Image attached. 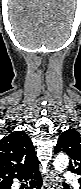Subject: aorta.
<instances>
[{"label": "aorta", "instance_id": "obj_1", "mask_svg": "<svg viewBox=\"0 0 81 189\" xmlns=\"http://www.w3.org/2000/svg\"><path fill=\"white\" fill-rule=\"evenodd\" d=\"M69 164L68 156L65 154H59L56 156L53 165L57 172L64 171Z\"/></svg>", "mask_w": 81, "mask_h": 189}]
</instances>
